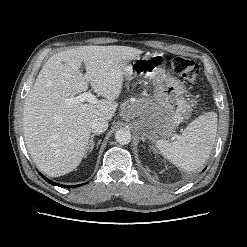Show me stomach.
Listing matches in <instances>:
<instances>
[{
  "instance_id": "obj_1",
  "label": "stomach",
  "mask_w": 247,
  "mask_h": 247,
  "mask_svg": "<svg viewBox=\"0 0 247 247\" xmlns=\"http://www.w3.org/2000/svg\"><path fill=\"white\" fill-rule=\"evenodd\" d=\"M124 78H142L154 83L151 100L136 102L138 112L134 115L135 129L143 138L154 140L168 137L190 113V104L184 98L185 85L177 78L165 73L163 54L137 56L123 68Z\"/></svg>"
}]
</instances>
